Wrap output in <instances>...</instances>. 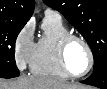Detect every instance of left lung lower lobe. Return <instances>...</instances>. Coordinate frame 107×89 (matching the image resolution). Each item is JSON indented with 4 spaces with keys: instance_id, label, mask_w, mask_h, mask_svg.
I'll list each match as a JSON object with an SVG mask.
<instances>
[{
    "instance_id": "0a47b994",
    "label": "left lung lower lobe",
    "mask_w": 107,
    "mask_h": 89,
    "mask_svg": "<svg viewBox=\"0 0 107 89\" xmlns=\"http://www.w3.org/2000/svg\"><path fill=\"white\" fill-rule=\"evenodd\" d=\"M84 84L107 89V61L100 65L93 74L82 81Z\"/></svg>"
}]
</instances>
